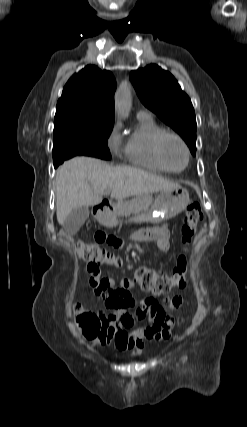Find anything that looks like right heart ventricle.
<instances>
[{
  "label": "right heart ventricle",
  "mask_w": 247,
  "mask_h": 427,
  "mask_svg": "<svg viewBox=\"0 0 247 427\" xmlns=\"http://www.w3.org/2000/svg\"><path fill=\"white\" fill-rule=\"evenodd\" d=\"M165 131L151 116H138L137 124L128 135L124 145L126 160L148 170L166 173L168 170L160 163L155 152V142Z\"/></svg>",
  "instance_id": "e07e8e85"
}]
</instances>
